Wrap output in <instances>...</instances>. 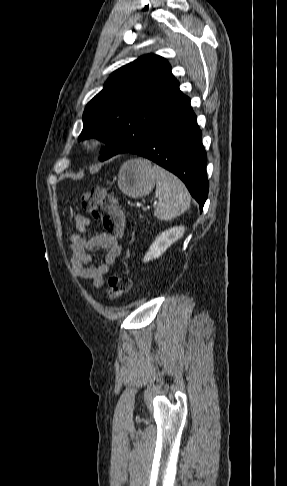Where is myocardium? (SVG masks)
Here are the masks:
<instances>
[{
  "mask_svg": "<svg viewBox=\"0 0 287 486\" xmlns=\"http://www.w3.org/2000/svg\"><path fill=\"white\" fill-rule=\"evenodd\" d=\"M101 142H102V140L100 139V137L94 136V137L89 138L86 141V145L89 146V147H97L101 144Z\"/></svg>",
  "mask_w": 287,
  "mask_h": 486,
  "instance_id": "f54148a6",
  "label": "myocardium"
}]
</instances>
